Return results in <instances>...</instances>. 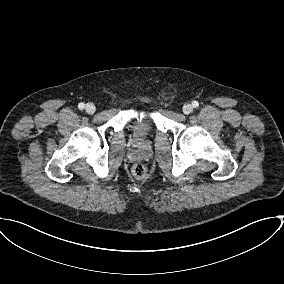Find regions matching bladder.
<instances>
[{"mask_svg":"<svg viewBox=\"0 0 284 284\" xmlns=\"http://www.w3.org/2000/svg\"><path fill=\"white\" fill-rule=\"evenodd\" d=\"M133 133L138 138L146 137L151 128V121L148 117L143 118L142 120L134 121L132 124Z\"/></svg>","mask_w":284,"mask_h":284,"instance_id":"1","label":"bladder"}]
</instances>
